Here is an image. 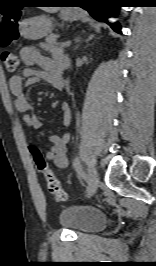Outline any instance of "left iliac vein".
I'll list each match as a JSON object with an SVG mask.
<instances>
[{
	"label": "left iliac vein",
	"instance_id": "4c4485c4",
	"mask_svg": "<svg viewBox=\"0 0 156 266\" xmlns=\"http://www.w3.org/2000/svg\"><path fill=\"white\" fill-rule=\"evenodd\" d=\"M88 184L89 196H91L97 190L99 184V175L93 165H89L88 167Z\"/></svg>",
	"mask_w": 156,
	"mask_h": 266
}]
</instances>
